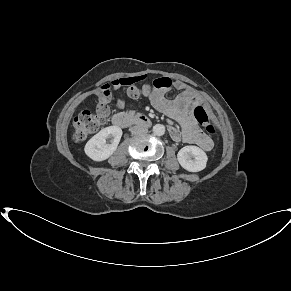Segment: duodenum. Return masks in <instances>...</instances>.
<instances>
[{
	"label": "duodenum",
	"instance_id": "410a0bca",
	"mask_svg": "<svg viewBox=\"0 0 291 291\" xmlns=\"http://www.w3.org/2000/svg\"><path fill=\"white\" fill-rule=\"evenodd\" d=\"M112 123L120 128H127L133 125L149 127L151 124L150 119L146 115L128 114L123 112L113 115Z\"/></svg>",
	"mask_w": 291,
	"mask_h": 291
}]
</instances>
